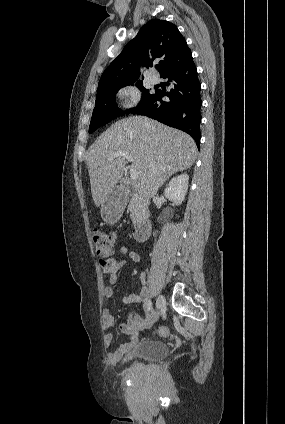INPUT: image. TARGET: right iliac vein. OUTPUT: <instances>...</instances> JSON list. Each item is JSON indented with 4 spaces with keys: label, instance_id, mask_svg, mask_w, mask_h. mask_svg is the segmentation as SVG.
<instances>
[{
    "label": "right iliac vein",
    "instance_id": "obj_1",
    "mask_svg": "<svg viewBox=\"0 0 285 424\" xmlns=\"http://www.w3.org/2000/svg\"><path fill=\"white\" fill-rule=\"evenodd\" d=\"M165 307V298L159 295L156 301V311L152 312L153 323L158 319L159 312Z\"/></svg>",
    "mask_w": 285,
    "mask_h": 424
}]
</instances>
